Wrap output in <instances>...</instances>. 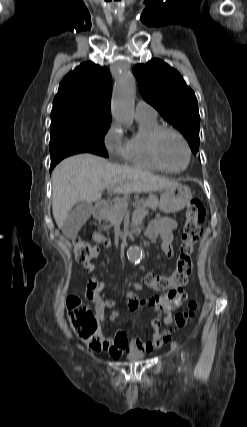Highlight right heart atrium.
<instances>
[{
  "label": "right heart atrium",
  "instance_id": "d8ad5b80",
  "mask_svg": "<svg viewBox=\"0 0 247 427\" xmlns=\"http://www.w3.org/2000/svg\"><path fill=\"white\" fill-rule=\"evenodd\" d=\"M103 143L110 154L116 157H123L125 139L117 122H111L104 133Z\"/></svg>",
  "mask_w": 247,
  "mask_h": 427
}]
</instances>
